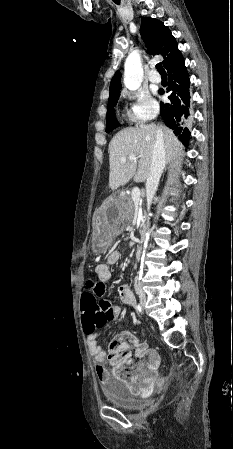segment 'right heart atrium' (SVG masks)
Returning a JSON list of instances; mask_svg holds the SVG:
<instances>
[{"label":"right heart atrium","instance_id":"1","mask_svg":"<svg viewBox=\"0 0 233 449\" xmlns=\"http://www.w3.org/2000/svg\"><path fill=\"white\" fill-rule=\"evenodd\" d=\"M127 96L132 100L129 115L133 121L142 124L157 116L159 105L147 91H130Z\"/></svg>","mask_w":233,"mask_h":449}]
</instances>
